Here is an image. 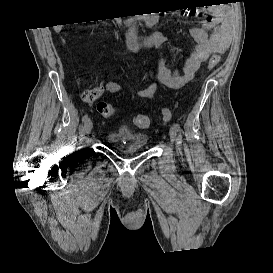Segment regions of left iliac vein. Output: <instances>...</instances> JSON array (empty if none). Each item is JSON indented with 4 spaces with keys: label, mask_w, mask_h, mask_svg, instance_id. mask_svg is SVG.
<instances>
[{
    "label": "left iliac vein",
    "mask_w": 273,
    "mask_h": 273,
    "mask_svg": "<svg viewBox=\"0 0 273 273\" xmlns=\"http://www.w3.org/2000/svg\"><path fill=\"white\" fill-rule=\"evenodd\" d=\"M169 135H170L171 142L175 143L176 138H177V131L174 126H171L170 131H169Z\"/></svg>",
    "instance_id": "4c4485c4"
}]
</instances>
